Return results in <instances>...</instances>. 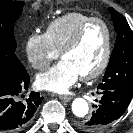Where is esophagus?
Returning a JSON list of instances; mask_svg holds the SVG:
<instances>
[{"label":"esophagus","instance_id":"esophagus-1","mask_svg":"<svg viewBox=\"0 0 133 133\" xmlns=\"http://www.w3.org/2000/svg\"><path fill=\"white\" fill-rule=\"evenodd\" d=\"M59 98L65 102H69L71 100V97L67 95H60Z\"/></svg>","mask_w":133,"mask_h":133}]
</instances>
